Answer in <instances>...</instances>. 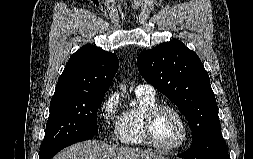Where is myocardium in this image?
<instances>
[{"label": "myocardium", "instance_id": "myocardium-1", "mask_svg": "<svg viewBox=\"0 0 253 159\" xmlns=\"http://www.w3.org/2000/svg\"><path fill=\"white\" fill-rule=\"evenodd\" d=\"M163 110H169L175 113L178 116L183 127V133L180 140L177 142V144L170 147H164V146L159 145L156 142L153 135V122L155 120V117L158 115V113H160ZM189 132H190V129H189V125L185 116L178 108L172 105L157 103L149 107L143 114L142 122H141V136H142L143 142L146 145L158 151H161L164 153H172V152L180 150L186 144L189 137Z\"/></svg>", "mask_w": 253, "mask_h": 159}]
</instances>
